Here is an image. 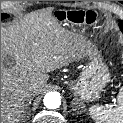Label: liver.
<instances>
[{
	"label": "liver",
	"mask_w": 123,
	"mask_h": 123,
	"mask_svg": "<svg viewBox=\"0 0 123 123\" xmlns=\"http://www.w3.org/2000/svg\"><path fill=\"white\" fill-rule=\"evenodd\" d=\"M83 51V44L50 12L30 14L1 27V123L24 120L23 91L31 88L39 95L49 79L47 73L67 66Z\"/></svg>",
	"instance_id": "obj_1"
}]
</instances>
